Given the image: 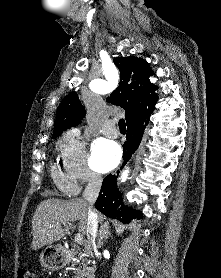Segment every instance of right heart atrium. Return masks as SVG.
I'll use <instances>...</instances> for the list:
<instances>
[{"label":"right heart atrium","mask_w":221,"mask_h":278,"mask_svg":"<svg viewBox=\"0 0 221 278\" xmlns=\"http://www.w3.org/2000/svg\"><path fill=\"white\" fill-rule=\"evenodd\" d=\"M63 166L75 183H95L98 173L90 162L87 144L78 130L64 134L59 142Z\"/></svg>","instance_id":"d8ad5b80"}]
</instances>
